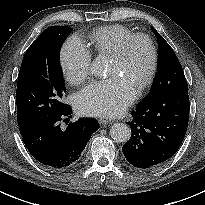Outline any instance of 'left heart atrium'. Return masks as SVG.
<instances>
[{
	"instance_id": "39dd6f15",
	"label": "left heart atrium",
	"mask_w": 205,
	"mask_h": 205,
	"mask_svg": "<svg viewBox=\"0 0 205 205\" xmlns=\"http://www.w3.org/2000/svg\"><path fill=\"white\" fill-rule=\"evenodd\" d=\"M136 87L125 77L95 81L75 97V108L86 116H116L136 98Z\"/></svg>"
}]
</instances>
